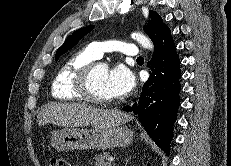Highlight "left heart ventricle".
<instances>
[{
    "mask_svg": "<svg viewBox=\"0 0 231 166\" xmlns=\"http://www.w3.org/2000/svg\"><path fill=\"white\" fill-rule=\"evenodd\" d=\"M108 70L103 65L98 66L92 77V87L96 95L105 98H112L107 87Z\"/></svg>",
    "mask_w": 231,
    "mask_h": 166,
    "instance_id": "1",
    "label": "left heart ventricle"
}]
</instances>
